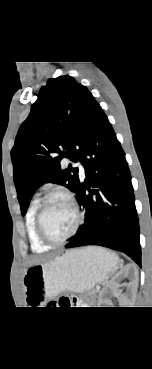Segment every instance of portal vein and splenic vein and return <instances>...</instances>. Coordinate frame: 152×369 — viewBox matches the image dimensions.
<instances>
[{
	"mask_svg": "<svg viewBox=\"0 0 152 369\" xmlns=\"http://www.w3.org/2000/svg\"><path fill=\"white\" fill-rule=\"evenodd\" d=\"M96 289H98V290H99V289H100V286H97V287H96Z\"/></svg>",
	"mask_w": 152,
	"mask_h": 369,
	"instance_id": "1",
	"label": "portal vein and splenic vein"
}]
</instances>
